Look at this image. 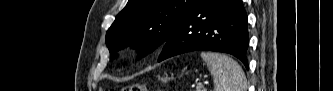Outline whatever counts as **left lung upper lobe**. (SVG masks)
Here are the masks:
<instances>
[{
  "label": "left lung upper lobe",
  "mask_w": 333,
  "mask_h": 91,
  "mask_svg": "<svg viewBox=\"0 0 333 91\" xmlns=\"http://www.w3.org/2000/svg\"><path fill=\"white\" fill-rule=\"evenodd\" d=\"M197 1L129 0L106 33L111 58L128 45L139 58L163 45Z\"/></svg>",
  "instance_id": "obj_1"
}]
</instances>
